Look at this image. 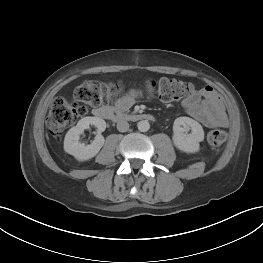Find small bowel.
<instances>
[{"label": "small bowel", "instance_id": "1", "mask_svg": "<svg viewBox=\"0 0 263 263\" xmlns=\"http://www.w3.org/2000/svg\"><path fill=\"white\" fill-rule=\"evenodd\" d=\"M140 96L138 90H131L119 99L117 106L120 110L129 109ZM182 106L185 111L206 127H225L228 118L221 98L211 86H205L188 98Z\"/></svg>", "mask_w": 263, "mask_h": 263}]
</instances>
